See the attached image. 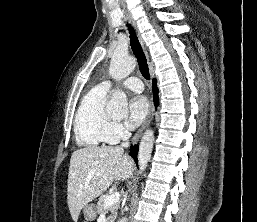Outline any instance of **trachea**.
I'll return each mask as SVG.
<instances>
[{"instance_id": "1", "label": "trachea", "mask_w": 257, "mask_h": 222, "mask_svg": "<svg viewBox=\"0 0 257 222\" xmlns=\"http://www.w3.org/2000/svg\"><path fill=\"white\" fill-rule=\"evenodd\" d=\"M126 25L128 27V31L130 34L131 48H132V51H133L135 57L137 58L139 70L145 79L150 80V73H149V68H148V64H147V59H146L145 54L142 50V47L139 43V40L136 36V33L130 24L127 23Z\"/></svg>"}]
</instances>
